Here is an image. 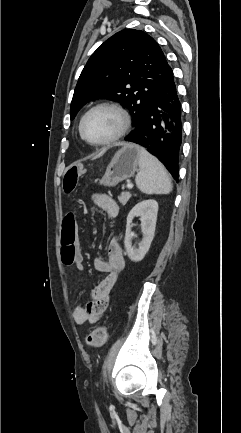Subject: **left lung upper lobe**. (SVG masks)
I'll return each instance as SVG.
<instances>
[{
    "label": "left lung upper lobe",
    "mask_w": 241,
    "mask_h": 433,
    "mask_svg": "<svg viewBox=\"0 0 241 433\" xmlns=\"http://www.w3.org/2000/svg\"><path fill=\"white\" fill-rule=\"evenodd\" d=\"M170 66L157 42L140 30H122L105 41L89 58L76 85L70 117L98 98L120 101L133 125L162 88Z\"/></svg>",
    "instance_id": "1"
}]
</instances>
